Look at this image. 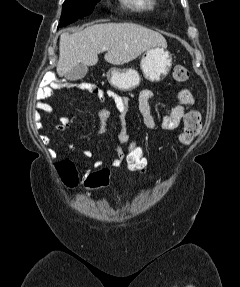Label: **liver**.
Wrapping results in <instances>:
<instances>
[{
    "mask_svg": "<svg viewBox=\"0 0 240 287\" xmlns=\"http://www.w3.org/2000/svg\"><path fill=\"white\" fill-rule=\"evenodd\" d=\"M156 46L166 47V39L159 32L139 24H96L73 34H61L56 71L62 77L80 63L94 66L103 48H108L104 56L108 63L122 65Z\"/></svg>",
    "mask_w": 240,
    "mask_h": 287,
    "instance_id": "obj_1",
    "label": "liver"
}]
</instances>
